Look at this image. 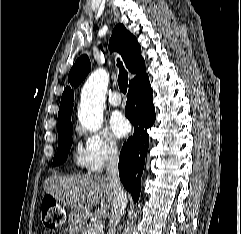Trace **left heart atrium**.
<instances>
[{"mask_svg":"<svg viewBox=\"0 0 241 234\" xmlns=\"http://www.w3.org/2000/svg\"><path fill=\"white\" fill-rule=\"evenodd\" d=\"M110 128L117 137L121 138L129 133L131 126L121 113L115 112L110 118Z\"/></svg>","mask_w":241,"mask_h":234,"instance_id":"1","label":"left heart atrium"}]
</instances>
